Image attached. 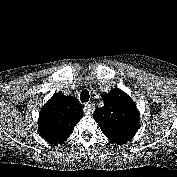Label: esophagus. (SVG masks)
Segmentation results:
<instances>
[{
    "mask_svg": "<svg viewBox=\"0 0 177 177\" xmlns=\"http://www.w3.org/2000/svg\"><path fill=\"white\" fill-rule=\"evenodd\" d=\"M93 108H94L93 104L90 102H87L84 104L83 112L85 114H91L93 112Z\"/></svg>",
    "mask_w": 177,
    "mask_h": 177,
    "instance_id": "esophagus-1",
    "label": "esophagus"
}]
</instances>
